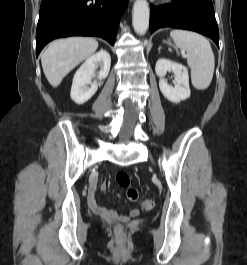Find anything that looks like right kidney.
<instances>
[{
  "mask_svg": "<svg viewBox=\"0 0 247 265\" xmlns=\"http://www.w3.org/2000/svg\"><path fill=\"white\" fill-rule=\"evenodd\" d=\"M110 65L111 57L103 49L87 58L74 75L70 93L71 99L79 105L87 102L98 89V82L96 80L91 83L96 69L100 67L97 78L98 80H103L109 74Z\"/></svg>",
  "mask_w": 247,
  "mask_h": 265,
  "instance_id": "obj_1",
  "label": "right kidney"
}]
</instances>
